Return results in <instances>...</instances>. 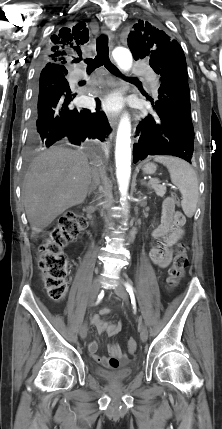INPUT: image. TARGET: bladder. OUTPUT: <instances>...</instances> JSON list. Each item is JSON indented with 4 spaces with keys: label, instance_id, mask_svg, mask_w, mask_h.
Returning <instances> with one entry per match:
<instances>
[{
    "label": "bladder",
    "instance_id": "obj_1",
    "mask_svg": "<svg viewBox=\"0 0 222 429\" xmlns=\"http://www.w3.org/2000/svg\"><path fill=\"white\" fill-rule=\"evenodd\" d=\"M135 364H131L124 368H119L117 370H107L100 367L94 369V374L107 381L112 383H119L128 380L134 371Z\"/></svg>",
    "mask_w": 222,
    "mask_h": 429
}]
</instances>
